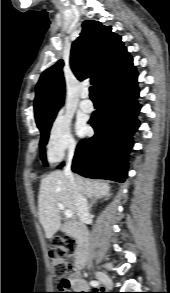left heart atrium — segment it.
Wrapping results in <instances>:
<instances>
[{"mask_svg":"<svg viewBox=\"0 0 170 293\" xmlns=\"http://www.w3.org/2000/svg\"><path fill=\"white\" fill-rule=\"evenodd\" d=\"M77 131L80 135H84L87 133V126L83 122H79L77 124Z\"/></svg>","mask_w":170,"mask_h":293,"instance_id":"left-heart-atrium-1","label":"left heart atrium"}]
</instances>
